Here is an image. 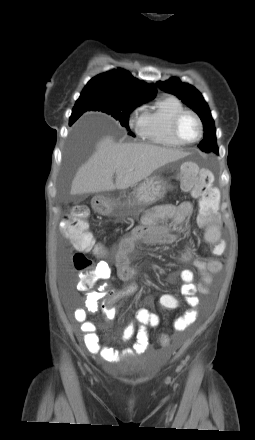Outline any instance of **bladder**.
<instances>
[{
  "instance_id": "31cf9c89",
  "label": "bladder",
  "mask_w": 255,
  "mask_h": 440,
  "mask_svg": "<svg viewBox=\"0 0 255 440\" xmlns=\"http://www.w3.org/2000/svg\"><path fill=\"white\" fill-rule=\"evenodd\" d=\"M118 374L129 379H145L151 376L153 366L146 362H123Z\"/></svg>"
}]
</instances>
